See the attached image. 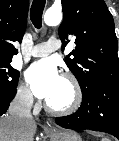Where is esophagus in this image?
<instances>
[{
  "mask_svg": "<svg viewBox=\"0 0 119 141\" xmlns=\"http://www.w3.org/2000/svg\"><path fill=\"white\" fill-rule=\"evenodd\" d=\"M47 127L49 129H52L53 128V125H52V122L51 121H47Z\"/></svg>",
  "mask_w": 119,
  "mask_h": 141,
  "instance_id": "1",
  "label": "esophagus"
}]
</instances>
